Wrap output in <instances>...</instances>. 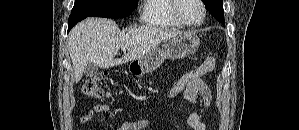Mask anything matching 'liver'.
Listing matches in <instances>:
<instances>
[{"instance_id":"1","label":"liver","mask_w":299,"mask_h":130,"mask_svg":"<svg viewBox=\"0 0 299 130\" xmlns=\"http://www.w3.org/2000/svg\"><path fill=\"white\" fill-rule=\"evenodd\" d=\"M179 34V30L149 26L134 27L126 33H119L118 25L111 19L87 18L71 30L67 41L75 81L81 80L88 63L105 69L138 60L156 49L161 42ZM120 49L124 55L115 59Z\"/></svg>"}]
</instances>
